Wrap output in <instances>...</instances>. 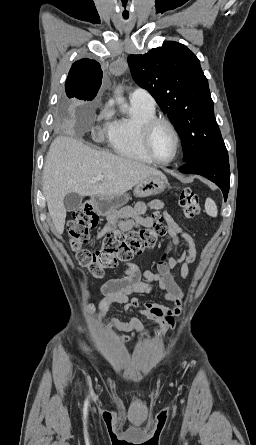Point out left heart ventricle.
I'll return each instance as SVG.
<instances>
[{"instance_id": "b2bd125f", "label": "left heart ventricle", "mask_w": 256, "mask_h": 445, "mask_svg": "<svg viewBox=\"0 0 256 445\" xmlns=\"http://www.w3.org/2000/svg\"><path fill=\"white\" fill-rule=\"evenodd\" d=\"M151 143L154 154L161 160H168L175 153V138L170 129L165 125H159L155 128Z\"/></svg>"}]
</instances>
